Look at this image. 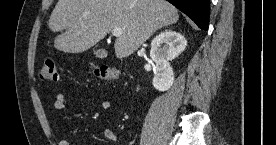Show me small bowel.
<instances>
[{
	"mask_svg": "<svg viewBox=\"0 0 276 145\" xmlns=\"http://www.w3.org/2000/svg\"><path fill=\"white\" fill-rule=\"evenodd\" d=\"M67 104H68L67 99L63 94L58 93L55 96V99H54L55 110L62 111L67 107ZM100 104L103 109H108L110 107V102L108 100H102ZM102 136L106 140L113 142V144H115V145L120 144V138H119L118 134L115 131H113L112 129H108V128L104 129L102 131ZM58 144L59 145H70L69 141L66 139H61Z\"/></svg>",
	"mask_w": 276,
	"mask_h": 145,
	"instance_id": "c3829d8e",
	"label": "small bowel"
}]
</instances>
